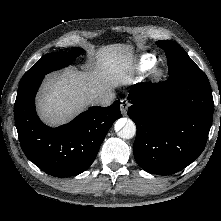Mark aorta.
<instances>
[{"label":"aorta","instance_id":"1","mask_svg":"<svg viewBox=\"0 0 221 221\" xmlns=\"http://www.w3.org/2000/svg\"><path fill=\"white\" fill-rule=\"evenodd\" d=\"M115 131L122 139H131L136 135V125L131 119L121 118L115 124Z\"/></svg>","mask_w":221,"mask_h":221}]
</instances>
